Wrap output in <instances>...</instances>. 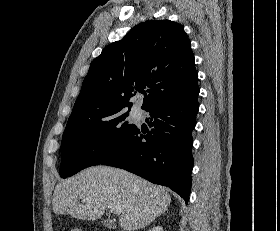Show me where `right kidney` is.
Here are the masks:
<instances>
[{
    "mask_svg": "<svg viewBox=\"0 0 280 231\" xmlns=\"http://www.w3.org/2000/svg\"><path fill=\"white\" fill-rule=\"evenodd\" d=\"M149 231H163V227H161V225H156V227H152Z\"/></svg>",
    "mask_w": 280,
    "mask_h": 231,
    "instance_id": "1",
    "label": "right kidney"
}]
</instances>
